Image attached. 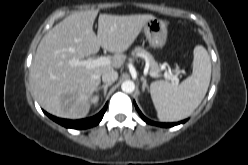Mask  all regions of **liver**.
Here are the masks:
<instances>
[{
    "label": "liver",
    "mask_w": 248,
    "mask_h": 165,
    "mask_svg": "<svg viewBox=\"0 0 248 165\" xmlns=\"http://www.w3.org/2000/svg\"><path fill=\"white\" fill-rule=\"evenodd\" d=\"M97 10L72 13L55 25L40 41L30 68L32 92L47 112L63 118L85 117L89 99L100 84L101 75L120 68L132 45L152 15L118 16L100 14L97 35L93 24ZM100 47L114 53L110 65L87 69L72 65L96 54Z\"/></svg>",
    "instance_id": "obj_1"
}]
</instances>
